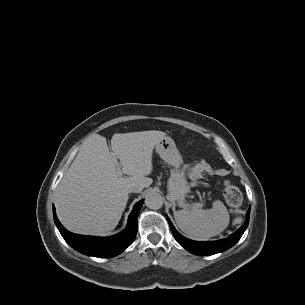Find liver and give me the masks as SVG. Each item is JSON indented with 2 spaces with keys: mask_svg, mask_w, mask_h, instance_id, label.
Segmentation results:
<instances>
[{
  "mask_svg": "<svg viewBox=\"0 0 305 305\" xmlns=\"http://www.w3.org/2000/svg\"><path fill=\"white\" fill-rule=\"evenodd\" d=\"M164 137L156 130L114 134L112 153L105 137H88L56 188V212L65 228L84 235L112 232L125 210L129 189L152 184L147 176L152 172L153 149ZM115 158L128 176H117Z\"/></svg>",
  "mask_w": 305,
  "mask_h": 305,
  "instance_id": "1",
  "label": "liver"
}]
</instances>
